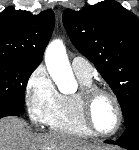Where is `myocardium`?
I'll return each mask as SVG.
<instances>
[{"label":"myocardium","instance_id":"f54148a6","mask_svg":"<svg viewBox=\"0 0 139 150\" xmlns=\"http://www.w3.org/2000/svg\"><path fill=\"white\" fill-rule=\"evenodd\" d=\"M108 96L114 103L117 112V123L115 128L110 132H100L96 129L92 120V105L94 100L100 96ZM80 116L85 127L97 137L108 138L119 132L123 124V110L118 97L110 90L98 86H89L82 88L78 95Z\"/></svg>","mask_w":139,"mask_h":150}]
</instances>
